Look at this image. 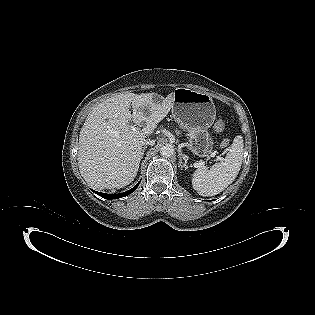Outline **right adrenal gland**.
<instances>
[{
  "label": "right adrenal gland",
  "instance_id": "obj_1",
  "mask_svg": "<svg viewBox=\"0 0 315 315\" xmlns=\"http://www.w3.org/2000/svg\"><path fill=\"white\" fill-rule=\"evenodd\" d=\"M146 148H147V147L144 146L143 149H142V158H143V155H144V152H145V149H146Z\"/></svg>",
  "mask_w": 315,
  "mask_h": 315
}]
</instances>
